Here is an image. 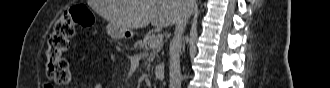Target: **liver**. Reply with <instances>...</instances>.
<instances>
[{"label": "liver", "mask_w": 330, "mask_h": 88, "mask_svg": "<svg viewBox=\"0 0 330 88\" xmlns=\"http://www.w3.org/2000/svg\"><path fill=\"white\" fill-rule=\"evenodd\" d=\"M186 6L192 11L194 0ZM184 8L181 0H98L96 11L120 30L138 29L151 23L168 27L176 23Z\"/></svg>", "instance_id": "1"}]
</instances>
